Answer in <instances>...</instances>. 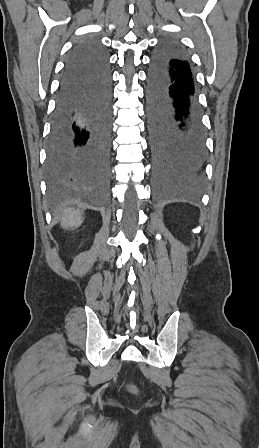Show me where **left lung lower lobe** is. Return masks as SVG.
Wrapping results in <instances>:
<instances>
[{
  "instance_id": "left-lung-lower-lobe-1",
  "label": "left lung lower lobe",
  "mask_w": 259,
  "mask_h": 448,
  "mask_svg": "<svg viewBox=\"0 0 259 448\" xmlns=\"http://www.w3.org/2000/svg\"><path fill=\"white\" fill-rule=\"evenodd\" d=\"M147 117L157 185L171 190L199 186L206 146L196 81L187 54L173 41H164L151 58Z\"/></svg>"
}]
</instances>
